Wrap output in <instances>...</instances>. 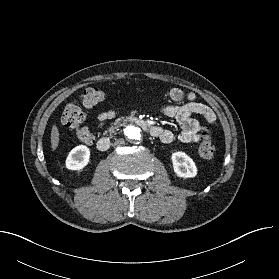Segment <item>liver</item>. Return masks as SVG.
<instances>
[{
    "instance_id": "1",
    "label": "liver",
    "mask_w": 279,
    "mask_h": 279,
    "mask_svg": "<svg viewBox=\"0 0 279 279\" xmlns=\"http://www.w3.org/2000/svg\"><path fill=\"white\" fill-rule=\"evenodd\" d=\"M59 130L57 128V126L54 124L52 126V130H51V148L54 151L58 144H59Z\"/></svg>"
}]
</instances>
